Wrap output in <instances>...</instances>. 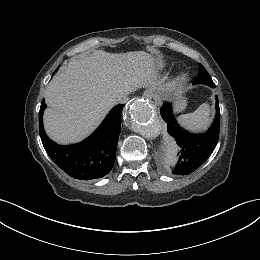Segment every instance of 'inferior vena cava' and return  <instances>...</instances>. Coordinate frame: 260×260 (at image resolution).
I'll list each match as a JSON object with an SVG mask.
<instances>
[{
  "mask_svg": "<svg viewBox=\"0 0 260 260\" xmlns=\"http://www.w3.org/2000/svg\"><path fill=\"white\" fill-rule=\"evenodd\" d=\"M128 94L129 93H123L117 95L114 99H112V104L117 105L126 103L128 101Z\"/></svg>",
  "mask_w": 260,
  "mask_h": 260,
  "instance_id": "inferior-vena-cava-1",
  "label": "inferior vena cava"
}]
</instances>
